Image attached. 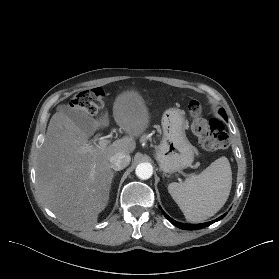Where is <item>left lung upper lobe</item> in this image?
<instances>
[{"label":"left lung upper lobe","mask_w":279,"mask_h":279,"mask_svg":"<svg viewBox=\"0 0 279 279\" xmlns=\"http://www.w3.org/2000/svg\"><path fill=\"white\" fill-rule=\"evenodd\" d=\"M220 114L224 117V119L227 121V115L224 109H220Z\"/></svg>","instance_id":"obj_1"}]
</instances>
